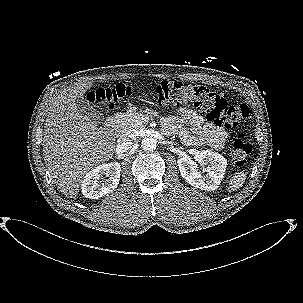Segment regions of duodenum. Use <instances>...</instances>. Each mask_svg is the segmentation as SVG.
Wrapping results in <instances>:
<instances>
[{
	"label": "duodenum",
	"instance_id": "duodenum-1",
	"mask_svg": "<svg viewBox=\"0 0 303 303\" xmlns=\"http://www.w3.org/2000/svg\"><path fill=\"white\" fill-rule=\"evenodd\" d=\"M116 125L115 118H110L107 122V127L113 128Z\"/></svg>",
	"mask_w": 303,
	"mask_h": 303
}]
</instances>
